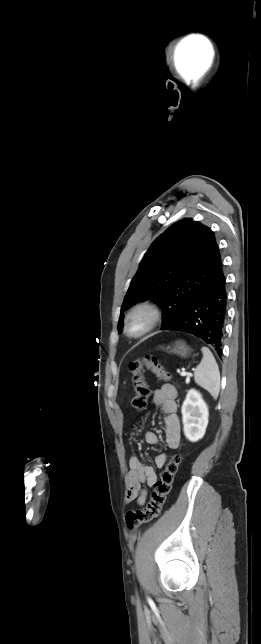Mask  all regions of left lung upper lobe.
Listing matches in <instances>:
<instances>
[{"instance_id":"left-lung-upper-lobe-1","label":"left lung upper lobe","mask_w":261,"mask_h":644,"mask_svg":"<svg viewBox=\"0 0 261 644\" xmlns=\"http://www.w3.org/2000/svg\"><path fill=\"white\" fill-rule=\"evenodd\" d=\"M222 263L214 233L191 219L181 220L151 245L131 281L121 307L153 299L161 303V329L173 323L205 287Z\"/></svg>"}]
</instances>
